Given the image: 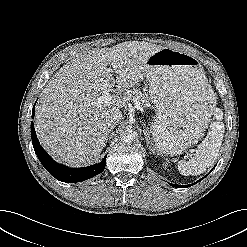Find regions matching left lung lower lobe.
<instances>
[{"mask_svg": "<svg viewBox=\"0 0 247 247\" xmlns=\"http://www.w3.org/2000/svg\"><path fill=\"white\" fill-rule=\"evenodd\" d=\"M203 179V178H202ZM202 179H200L199 181H201ZM199 181H197V182H199ZM194 184H196V183H194ZM194 184H190V185H175V184H171L173 187H180V188H185V187H189V186H191V185H194Z\"/></svg>", "mask_w": 247, "mask_h": 247, "instance_id": "left-lung-lower-lobe-1", "label": "left lung lower lobe"}]
</instances>
